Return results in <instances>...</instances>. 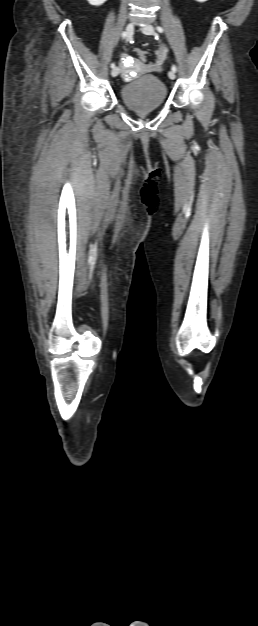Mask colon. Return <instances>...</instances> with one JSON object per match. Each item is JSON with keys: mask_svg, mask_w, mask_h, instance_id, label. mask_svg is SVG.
Here are the masks:
<instances>
[{"mask_svg": "<svg viewBox=\"0 0 258 626\" xmlns=\"http://www.w3.org/2000/svg\"><path fill=\"white\" fill-rule=\"evenodd\" d=\"M136 54L141 60L146 59V52L142 49H136Z\"/></svg>", "mask_w": 258, "mask_h": 626, "instance_id": "colon-1", "label": "colon"}]
</instances>
